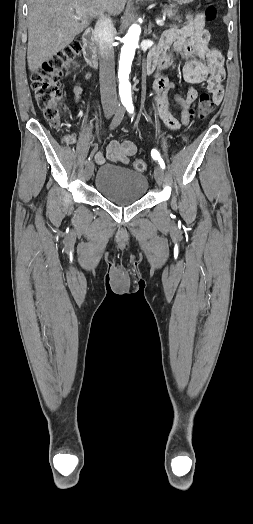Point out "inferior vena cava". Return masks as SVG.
Here are the masks:
<instances>
[{"label": "inferior vena cava", "instance_id": "1", "mask_svg": "<svg viewBox=\"0 0 253 524\" xmlns=\"http://www.w3.org/2000/svg\"><path fill=\"white\" fill-rule=\"evenodd\" d=\"M114 25L110 17H101L95 26V40L99 47L100 92L104 106L117 105L114 62Z\"/></svg>", "mask_w": 253, "mask_h": 524}]
</instances>
